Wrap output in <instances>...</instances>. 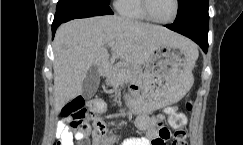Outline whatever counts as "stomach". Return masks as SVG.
<instances>
[{"label": "stomach", "mask_w": 243, "mask_h": 145, "mask_svg": "<svg viewBox=\"0 0 243 145\" xmlns=\"http://www.w3.org/2000/svg\"><path fill=\"white\" fill-rule=\"evenodd\" d=\"M197 57L198 50L192 43L183 48L160 45L142 76L144 94H124L125 103L143 106L137 111L145 112L177 103L193 85Z\"/></svg>", "instance_id": "0dacf381"}]
</instances>
